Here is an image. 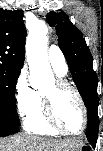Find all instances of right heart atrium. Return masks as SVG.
Returning a JSON list of instances; mask_svg holds the SVG:
<instances>
[{"label": "right heart atrium", "instance_id": "obj_1", "mask_svg": "<svg viewBox=\"0 0 103 151\" xmlns=\"http://www.w3.org/2000/svg\"><path fill=\"white\" fill-rule=\"evenodd\" d=\"M14 100L17 113L22 118H26L36 104V92L30 87L25 72H21L16 80Z\"/></svg>", "mask_w": 103, "mask_h": 151}]
</instances>
